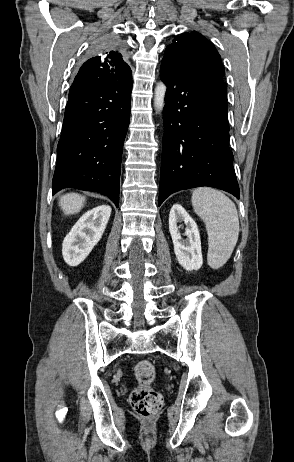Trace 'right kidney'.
<instances>
[{
  "mask_svg": "<svg viewBox=\"0 0 294 462\" xmlns=\"http://www.w3.org/2000/svg\"><path fill=\"white\" fill-rule=\"evenodd\" d=\"M111 214L109 205L97 206L83 214L66 235L62 255L69 266L85 260L101 239Z\"/></svg>",
  "mask_w": 294,
  "mask_h": 462,
  "instance_id": "ca27d5eb",
  "label": "right kidney"
}]
</instances>
